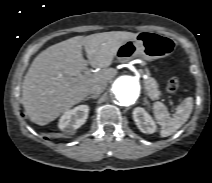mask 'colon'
Wrapping results in <instances>:
<instances>
[{"label": "colon", "instance_id": "colon-1", "mask_svg": "<svg viewBox=\"0 0 212 183\" xmlns=\"http://www.w3.org/2000/svg\"><path fill=\"white\" fill-rule=\"evenodd\" d=\"M179 87V80L177 77H171L167 83L168 92H175Z\"/></svg>", "mask_w": 212, "mask_h": 183}]
</instances>
